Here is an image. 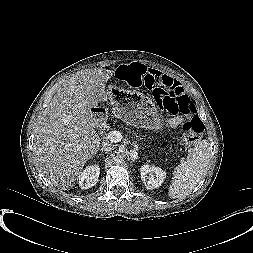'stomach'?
Returning <instances> with one entry per match:
<instances>
[{
    "mask_svg": "<svg viewBox=\"0 0 253 253\" xmlns=\"http://www.w3.org/2000/svg\"><path fill=\"white\" fill-rule=\"evenodd\" d=\"M104 101L111 104L116 117L129 125L150 130L163 127L154 103L143 94L111 87Z\"/></svg>",
    "mask_w": 253,
    "mask_h": 253,
    "instance_id": "obj_1",
    "label": "stomach"
}]
</instances>
